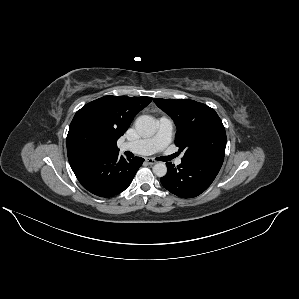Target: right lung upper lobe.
<instances>
[{
    "mask_svg": "<svg viewBox=\"0 0 299 299\" xmlns=\"http://www.w3.org/2000/svg\"><path fill=\"white\" fill-rule=\"evenodd\" d=\"M151 100V97L104 96L84 105L69 127V163L98 155L119 154L117 140Z\"/></svg>",
    "mask_w": 299,
    "mask_h": 299,
    "instance_id": "cb5924a9",
    "label": "right lung upper lobe"
}]
</instances>
